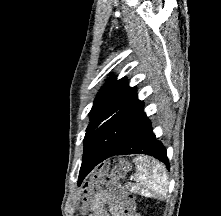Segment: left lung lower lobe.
<instances>
[{"label":"left lung lower lobe","mask_w":221,"mask_h":216,"mask_svg":"<svg viewBox=\"0 0 221 216\" xmlns=\"http://www.w3.org/2000/svg\"><path fill=\"white\" fill-rule=\"evenodd\" d=\"M146 154L164 162L169 169L166 149L158 141L152 131L150 120L147 119L136 134L118 151L112 147L99 145L83 154L82 165L79 173V184L88 173L99 163L114 155Z\"/></svg>","instance_id":"left-lung-lower-lobe-1"}]
</instances>
